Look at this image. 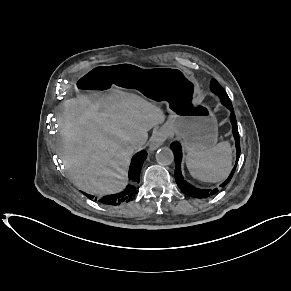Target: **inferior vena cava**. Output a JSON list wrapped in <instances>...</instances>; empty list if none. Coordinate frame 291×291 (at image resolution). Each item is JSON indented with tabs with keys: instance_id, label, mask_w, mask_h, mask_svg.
I'll list each match as a JSON object with an SVG mask.
<instances>
[{
	"instance_id": "1",
	"label": "inferior vena cava",
	"mask_w": 291,
	"mask_h": 291,
	"mask_svg": "<svg viewBox=\"0 0 291 291\" xmlns=\"http://www.w3.org/2000/svg\"><path fill=\"white\" fill-rule=\"evenodd\" d=\"M130 148L132 150H136V149L140 148V142H138V141H132L131 142V145H130Z\"/></svg>"
}]
</instances>
